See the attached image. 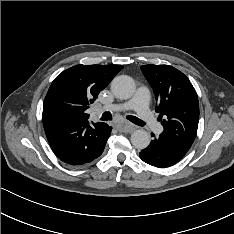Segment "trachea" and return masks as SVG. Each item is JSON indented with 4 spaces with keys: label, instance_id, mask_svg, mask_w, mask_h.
<instances>
[{
    "label": "trachea",
    "instance_id": "obj_1",
    "mask_svg": "<svg viewBox=\"0 0 234 234\" xmlns=\"http://www.w3.org/2000/svg\"><path fill=\"white\" fill-rule=\"evenodd\" d=\"M102 121H107L112 119V114L110 112H104L100 118ZM127 119L130 120L132 123L139 125V126H144L145 122L140 120L139 118L135 116H127Z\"/></svg>",
    "mask_w": 234,
    "mask_h": 234
}]
</instances>
